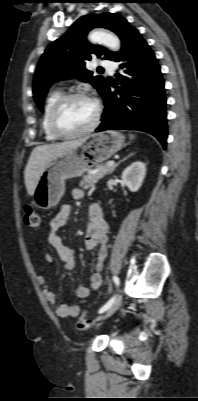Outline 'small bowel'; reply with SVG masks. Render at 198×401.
<instances>
[{
	"instance_id": "small-bowel-1",
	"label": "small bowel",
	"mask_w": 198,
	"mask_h": 401,
	"mask_svg": "<svg viewBox=\"0 0 198 401\" xmlns=\"http://www.w3.org/2000/svg\"><path fill=\"white\" fill-rule=\"evenodd\" d=\"M73 197L81 199L85 195V191L81 188H75L72 191ZM71 214V207L67 204L63 205L59 212L50 221L48 230V242L54 248L59 258L64 263L67 270H72L75 261L73 251L64 243L59 235V231L65 226ZM108 231L109 225L106 221L102 208L98 203H92L89 209V223L86 229L85 246L88 250H93L99 246L98 261L95 264L94 271L90 277V285L85 286L79 284L75 288V294L79 300L88 298L92 290H96L102 283L103 263L108 255ZM47 260H52V255H46ZM37 281L44 286L43 293L47 301L51 304L56 303L55 292L47 285V279L43 275L37 276ZM56 312L64 318L76 317L79 313V305L77 302L62 303L56 306ZM81 329H87L89 323L80 324Z\"/></svg>"
}]
</instances>
